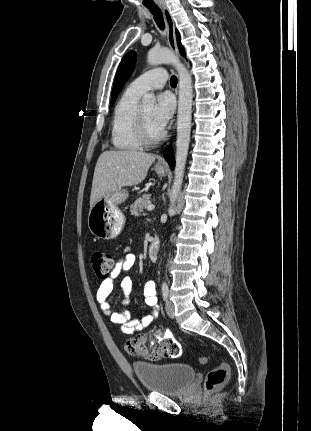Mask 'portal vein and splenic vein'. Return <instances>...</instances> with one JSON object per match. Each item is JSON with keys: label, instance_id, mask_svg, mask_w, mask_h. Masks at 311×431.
Instances as JSON below:
<instances>
[{"label": "portal vein and splenic vein", "instance_id": "obj_1", "mask_svg": "<svg viewBox=\"0 0 311 431\" xmlns=\"http://www.w3.org/2000/svg\"><path fill=\"white\" fill-rule=\"evenodd\" d=\"M154 208H155L154 204H149V206H147L148 212H150V210H154Z\"/></svg>", "mask_w": 311, "mask_h": 431}]
</instances>
